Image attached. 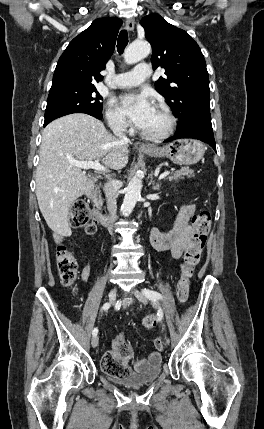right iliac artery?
<instances>
[{
  "mask_svg": "<svg viewBox=\"0 0 264 429\" xmlns=\"http://www.w3.org/2000/svg\"><path fill=\"white\" fill-rule=\"evenodd\" d=\"M110 308V303H105L103 306H102V310H104V311H106V310H108ZM98 334V329L97 328H94L93 329V331H92V335L93 336H96Z\"/></svg>",
  "mask_w": 264,
  "mask_h": 429,
  "instance_id": "1",
  "label": "right iliac artery"
}]
</instances>
